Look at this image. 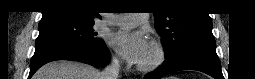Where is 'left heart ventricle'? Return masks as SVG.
<instances>
[{
  "mask_svg": "<svg viewBox=\"0 0 255 79\" xmlns=\"http://www.w3.org/2000/svg\"><path fill=\"white\" fill-rule=\"evenodd\" d=\"M136 26H137L136 24H131L129 27L135 28ZM154 57H155V52L152 48L149 47L145 57L143 58V60L140 63L148 64L153 61Z\"/></svg>",
  "mask_w": 255,
  "mask_h": 79,
  "instance_id": "left-heart-ventricle-1",
  "label": "left heart ventricle"
}]
</instances>
